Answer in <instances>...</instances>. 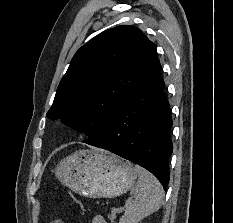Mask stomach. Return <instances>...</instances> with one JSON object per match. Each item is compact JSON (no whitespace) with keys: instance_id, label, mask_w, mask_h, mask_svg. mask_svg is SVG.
<instances>
[{"instance_id":"stomach-1","label":"stomach","mask_w":233,"mask_h":223,"mask_svg":"<svg viewBox=\"0 0 233 223\" xmlns=\"http://www.w3.org/2000/svg\"><path fill=\"white\" fill-rule=\"evenodd\" d=\"M55 175L85 197H117L133 187L137 167L103 149H81L62 159Z\"/></svg>"}]
</instances>
